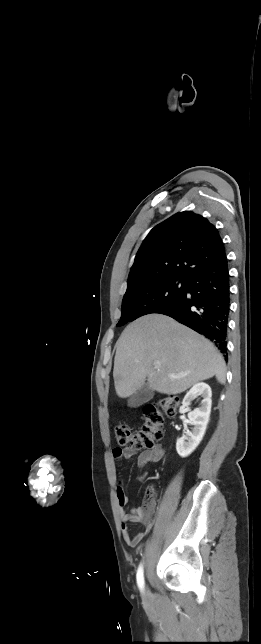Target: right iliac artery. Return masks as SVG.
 Returning <instances> with one entry per match:
<instances>
[{
    "label": "right iliac artery",
    "instance_id": "right-iliac-artery-1",
    "mask_svg": "<svg viewBox=\"0 0 261 644\" xmlns=\"http://www.w3.org/2000/svg\"><path fill=\"white\" fill-rule=\"evenodd\" d=\"M136 578H137V584H138L139 589L141 591H143L144 590V575H143V565L142 564L139 565V568L137 570Z\"/></svg>",
    "mask_w": 261,
    "mask_h": 644
}]
</instances>
